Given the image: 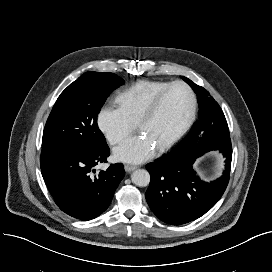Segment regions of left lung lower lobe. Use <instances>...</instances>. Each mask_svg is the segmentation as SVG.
Listing matches in <instances>:
<instances>
[{"mask_svg": "<svg viewBox=\"0 0 272 272\" xmlns=\"http://www.w3.org/2000/svg\"><path fill=\"white\" fill-rule=\"evenodd\" d=\"M181 143L167 155L146 165L151 175L146 192L148 205L160 220L171 225L193 221L219 201L229 182L232 159L231 144L213 148ZM211 150H219L224 155L225 171L219 179L204 182L193 169V163Z\"/></svg>", "mask_w": 272, "mask_h": 272, "instance_id": "left-lung-lower-lobe-1", "label": "left lung lower lobe"}]
</instances>
